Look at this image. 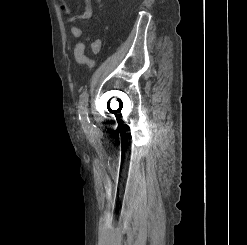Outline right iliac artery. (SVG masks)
Wrapping results in <instances>:
<instances>
[{
  "label": "right iliac artery",
  "instance_id": "right-iliac-artery-1",
  "mask_svg": "<svg viewBox=\"0 0 247 245\" xmlns=\"http://www.w3.org/2000/svg\"><path fill=\"white\" fill-rule=\"evenodd\" d=\"M88 93L84 91L80 95V101H79V119L82 123L83 128L85 131H88L90 129V120L88 117Z\"/></svg>",
  "mask_w": 247,
  "mask_h": 245
}]
</instances>
